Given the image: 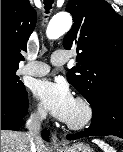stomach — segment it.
Segmentation results:
<instances>
[{"label":"stomach","mask_w":123,"mask_h":152,"mask_svg":"<svg viewBox=\"0 0 123 152\" xmlns=\"http://www.w3.org/2000/svg\"><path fill=\"white\" fill-rule=\"evenodd\" d=\"M57 152H94L87 144L76 143L71 146L57 149Z\"/></svg>","instance_id":"0dacf381"}]
</instances>
